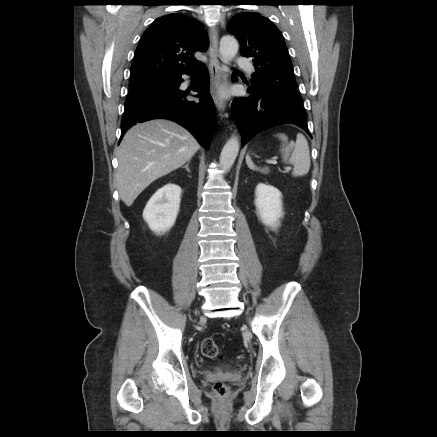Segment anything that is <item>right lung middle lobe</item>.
Segmentation results:
<instances>
[{"mask_svg": "<svg viewBox=\"0 0 437 437\" xmlns=\"http://www.w3.org/2000/svg\"><path fill=\"white\" fill-rule=\"evenodd\" d=\"M172 80L171 78L134 80L130 84L129 98L164 89L171 84Z\"/></svg>", "mask_w": 437, "mask_h": 437, "instance_id": "dd1d6c3e", "label": "right lung middle lobe"}]
</instances>
